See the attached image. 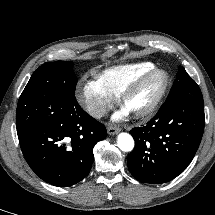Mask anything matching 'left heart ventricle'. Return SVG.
<instances>
[{
  "mask_svg": "<svg viewBox=\"0 0 215 215\" xmlns=\"http://www.w3.org/2000/svg\"><path fill=\"white\" fill-rule=\"evenodd\" d=\"M161 84L162 77L160 75L152 77L135 94L131 96L125 109L128 112H133L145 108L152 101Z\"/></svg>",
  "mask_w": 215,
  "mask_h": 215,
  "instance_id": "1",
  "label": "left heart ventricle"
}]
</instances>
